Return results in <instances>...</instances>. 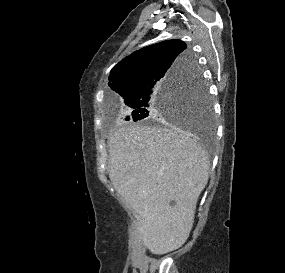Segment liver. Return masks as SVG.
<instances>
[{"mask_svg": "<svg viewBox=\"0 0 285 273\" xmlns=\"http://www.w3.org/2000/svg\"><path fill=\"white\" fill-rule=\"evenodd\" d=\"M109 144V178L141 217L146 248L156 255L180 248L208 182L207 153L176 128L128 124L113 131Z\"/></svg>", "mask_w": 285, "mask_h": 273, "instance_id": "6515ba94", "label": "liver"}]
</instances>
